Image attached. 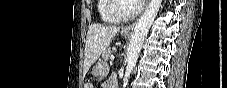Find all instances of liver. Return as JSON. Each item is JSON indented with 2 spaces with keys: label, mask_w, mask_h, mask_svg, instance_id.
<instances>
[{
  "label": "liver",
  "mask_w": 227,
  "mask_h": 88,
  "mask_svg": "<svg viewBox=\"0 0 227 88\" xmlns=\"http://www.w3.org/2000/svg\"><path fill=\"white\" fill-rule=\"evenodd\" d=\"M120 30L116 26H104L98 23L90 25L85 44L84 68L88 70L94 64L102 52H104L112 42L115 35Z\"/></svg>",
  "instance_id": "liver-1"
}]
</instances>
